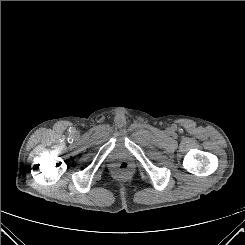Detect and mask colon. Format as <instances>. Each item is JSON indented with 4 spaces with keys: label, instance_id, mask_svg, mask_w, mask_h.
I'll use <instances>...</instances> for the list:
<instances>
[{
    "label": "colon",
    "instance_id": "5ec220e1",
    "mask_svg": "<svg viewBox=\"0 0 245 245\" xmlns=\"http://www.w3.org/2000/svg\"><path fill=\"white\" fill-rule=\"evenodd\" d=\"M130 165L128 163H121L117 166V172L120 174H125L129 171Z\"/></svg>",
    "mask_w": 245,
    "mask_h": 245
}]
</instances>
